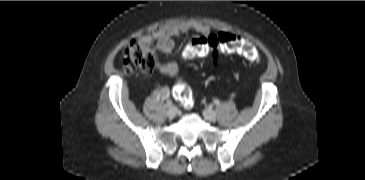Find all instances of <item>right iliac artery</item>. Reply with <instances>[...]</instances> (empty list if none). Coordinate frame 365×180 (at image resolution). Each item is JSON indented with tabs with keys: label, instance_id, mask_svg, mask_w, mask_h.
Wrapping results in <instances>:
<instances>
[{
	"label": "right iliac artery",
	"instance_id": "obj_1",
	"mask_svg": "<svg viewBox=\"0 0 365 180\" xmlns=\"http://www.w3.org/2000/svg\"><path fill=\"white\" fill-rule=\"evenodd\" d=\"M172 101L171 100H168L167 102H166V106H168V107H171L172 106Z\"/></svg>",
	"mask_w": 365,
	"mask_h": 180
}]
</instances>
